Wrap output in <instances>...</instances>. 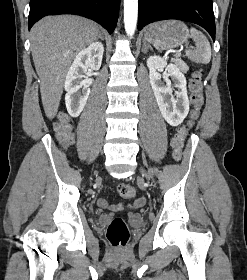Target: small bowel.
Wrapping results in <instances>:
<instances>
[{
    "instance_id": "c3829d8e",
    "label": "small bowel",
    "mask_w": 247,
    "mask_h": 280,
    "mask_svg": "<svg viewBox=\"0 0 247 280\" xmlns=\"http://www.w3.org/2000/svg\"><path fill=\"white\" fill-rule=\"evenodd\" d=\"M98 204H99L100 207H103V208L111 207L113 210H121L124 207L131 208V209H136V208L142 207L145 204V198H143V197L138 198L133 203L128 204L126 206L122 205V204L110 205L109 202L106 199H99Z\"/></svg>"
}]
</instances>
